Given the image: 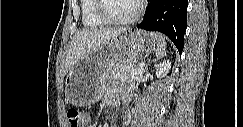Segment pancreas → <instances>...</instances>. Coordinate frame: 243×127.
I'll return each instance as SVG.
<instances>
[{"label":"pancreas","instance_id":"1","mask_svg":"<svg viewBox=\"0 0 243 127\" xmlns=\"http://www.w3.org/2000/svg\"><path fill=\"white\" fill-rule=\"evenodd\" d=\"M134 64H122L111 71V77L114 80H122L133 83L136 77L140 74H135L133 71L137 70Z\"/></svg>","mask_w":243,"mask_h":127}]
</instances>
